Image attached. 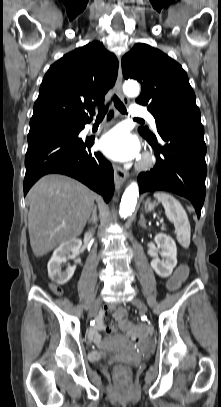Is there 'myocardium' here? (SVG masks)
Masks as SVG:
<instances>
[{"label":"myocardium","mask_w":221,"mask_h":407,"mask_svg":"<svg viewBox=\"0 0 221 407\" xmlns=\"http://www.w3.org/2000/svg\"><path fill=\"white\" fill-rule=\"evenodd\" d=\"M156 163V157L154 153L152 152H147L144 154L142 159L140 160L138 164V168L140 170H148L151 169Z\"/></svg>","instance_id":"myocardium-1"}]
</instances>
